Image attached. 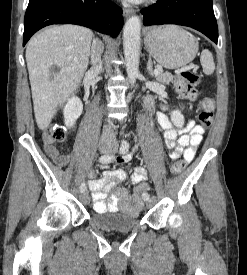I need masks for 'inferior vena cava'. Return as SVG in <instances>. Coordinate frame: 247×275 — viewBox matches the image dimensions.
Segmentation results:
<instances>
[{"label":"inferior vena cava","instance_id":"obj_1","mask_svg":"<svg viewBox=\"0 0 247 275\" xmlns=\"http://www.w3.org/2000/svg\"><path fill=\"white\" fill-rule=\"evenodd\" d=\"M103 52V44L98 39H93L91 48V72L98 75L103 70L101 55ZM100 142L102 144H115L116 137L112 129L111 123L104 125Z\"/></svg>","mask_w":247,"mask_h":275}]
</instances>
